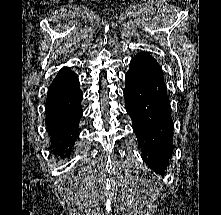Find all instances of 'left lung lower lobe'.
<instances>
[{
    "label": "left lung lower lobe",
    "mask_w": 221,
    "mask_h": 215,
    "mask_svg": "<svg viewBox=\"0 0 221 215\" xmlns=\"http://www.w3.org/2000/svg\"><path fill=\"white\" fill-rule=\"evenodd\" d=\"M125 82L126 111L145 161L162 174L172 154V124L162 69L148 53H139L130 62Z\"/></svg>",
    "instance_id": "1"
}]
</instances>
